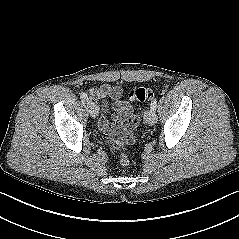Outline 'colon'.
Returning a JSON list of instances; mask_svg holds the SVG:
<instances>
[{
	"instance_id": "5ec220e1",
	"label": "colon",
	"mask_w": 239,
	"mask_h": 239,
	"mask_svg": "<svg viewBox=\"0 0 239 239\" xmlns=\"http://www.w3.org/2000/svg\"><path fill=\"white\" fill-rule=\"evenodd\" d=\"M130 99L132 101H139V102H145L148 100H151L154 96V89L152 88H136L130 92ZM135 120L138 121V119L135 117ZM122 151L119 155V163L121 166L126 167L130 164V157L128 153L125 151L124 146L121 145Z\"/></svg>"
}]
</instances>
